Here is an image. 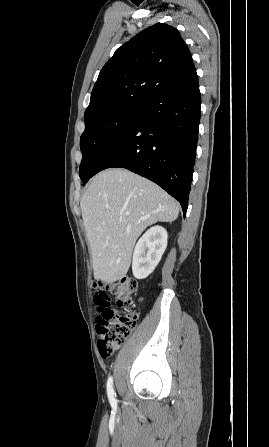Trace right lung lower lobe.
Wrapping results in <instances>:
<instances>
[{"mask_svg":"<svg viewBox=\"0 0 269 447\" xmlns=\"http://www.w3.org/2000/svg\"><path fill=\"white\" fill-rule=\"evenodd\" d=\"M137 122L92 165L90 175L120 167L144 176L176 198L184 215L198 140L201 95L194 64L144 103Z\"/></svg>","mask_w":269,"mask_h":447,"instance_id":"98d812e1","label":"right lung lower lobe"}]
</instances>
